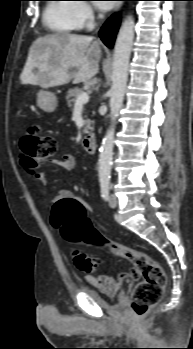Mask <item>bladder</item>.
<instances>
[{"label":"bladder","instance_id":"bladder-1","mask_svg":"<svg viewBox=\"0 0 193 349\" xmlns=\"http://www.w3.org/2000/svg\"><path fill=\"white\" fill-rule=\"evenodd\" d=\"M84 292L89 295L97 304L104 306L106 308H110L111 305L106 301V299L100 294L99 291L92 288H84ZM123 298V293H119L116 295L115 300L118 301Z\"/></svg>","mask_w":193,"mask_h":349}]
</instances>
